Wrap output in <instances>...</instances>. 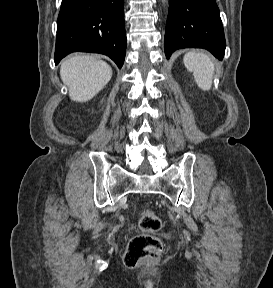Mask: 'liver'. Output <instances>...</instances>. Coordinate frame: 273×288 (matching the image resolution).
Returning a JSON list of instances; mask_svg holds the SVG:
<instances>
[{
    "label": "liver",
    "instance_id": "1",
    "mask_svg": "<svg viewBox=\"0 0 273 288\" xmlns=\"http://www.w3.org/2000/svg\"><path fill=\"white\" fill-rule=\"evenodd\" d=\"M60 76L73 101L87 102L101 91L112 77L111 67L89 55H74L61 65Z\"/></svg>",
    "mask_w": 273,
    "mask_h": 288
}]
</instances>
